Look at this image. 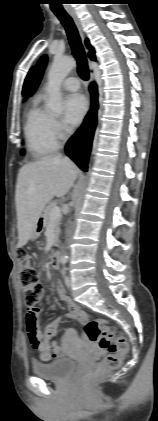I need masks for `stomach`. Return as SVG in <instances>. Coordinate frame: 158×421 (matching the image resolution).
<instances>
[{"instance_id": "0dacf381", "label": "stomach", "mask_w": 158, "mask_h": 421, "mask_svg": "<svg viewBox=\"0 0 158 421\" xmlns=\"http://www.w3.org/2000/svg\"><path fill=\"white\" fill-rule=\"evenodd\" d=\"M43 225H44L43 221L41 219H39L36 226H35V229H34L32 235L30 237L31 240H35L36 238L39 237V235L42 231Z\"/></svg>"}]
</instances>
